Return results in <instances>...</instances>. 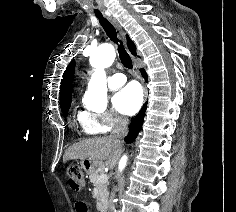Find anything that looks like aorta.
<instances>
[{
	"label": "aorta",
	"instance_id": "1",
	"mask_svg": "<svg viewBox=\"0 0 236 212\" xmlns=\"http://www.w3.org/2000/svg\"><path fill=\"white\" fill-rule=\"evenodd\" d=\"M116 54L111 44H103L92 51L90 64L94 68V73L88 83V91L85 97L91 109L103 108L107 104V79L105 68L109 67L115 60ZM127 162V157L123 156L119 169L122 170Z\"/></svg>",
	"mask_w": 236,
	"mask_h": 212
}]
</instances>
